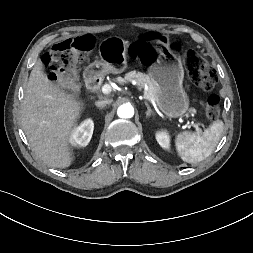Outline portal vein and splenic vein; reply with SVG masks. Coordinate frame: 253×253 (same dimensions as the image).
<instances>
[{
  "mask_svg": "<svg viewBox=\"0 0 253 253\" xmlns=\"http://www.w3.org/2000/svg\"><path fill=\"white\" fill-rule=\"evenodd\" d=\"M101 91L103 94H109L112 91V88L109 84H105L102 86ZM144 98L146 100L150 101L153 105H155V101L152 98H150L149 96H147L146 94H144ZM186 125L188 127H190V126L194 127L195 130L197 131V133H201V131H202L201 128L197 124H195L194 122L187 121Z\"/></svg>",
  "mask_w": 253,
  "mask_h": 253,
  "instance_id": "18ae733b",
  "label": "portal vein and splenic vein"
}]
</instances>
